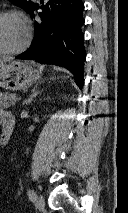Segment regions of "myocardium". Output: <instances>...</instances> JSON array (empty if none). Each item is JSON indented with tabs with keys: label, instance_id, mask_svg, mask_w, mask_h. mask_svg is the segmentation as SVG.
Segmentation results:
<instances>
[{
	"label": "myocardium",
	"instance_id": "1",
	"mask_svg": "<svg viewBox=\"0 0 128 213\" xmlns=\"http://www.w3.org/2000/svg\"><path fill=\"white\" fill-rule=\"evenodd\" d=\"M3 17H14L19 19L24 25L25 39L23 43L15 49H0V55H16L25 51L31 41V28L28 21L25 19L21 12L13 9H5L0 11V19Z\"/></svg>",
	"mask_w": 128,
	"mask_h": 213
}]
</instances>
